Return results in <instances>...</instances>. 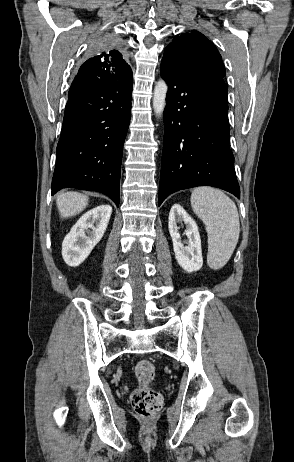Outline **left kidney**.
<instances>
[{
  "label": "left kidney",
  "mask_w": 294,
  "mask_h": 462,
  "mask_svg": "<svg viewBox=\"0 0 294 462\" xmlns=\"http://www.w3.org/2000/svg\"><path fill=\"white\" fill-rule=\"evenodd\" d=\"M184 221L187 240H181L177 223ZM169 233L173 242L175 258L187 272L198 271L203 265L201 239L196 222L179 204H174L169 213ZM186 244V245H185Z\"/></svg>",
  "instance_id": "left-kidney-1"
}]
</instances>
